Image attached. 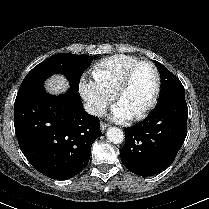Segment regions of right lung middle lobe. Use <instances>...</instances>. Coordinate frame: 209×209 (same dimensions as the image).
<instances>
[{"label": "right lung middle lobe", "mask_w": 209, "mask_h": 209, "mask_svg": "<svg viewBox=\"0 0 209 209\" xmlns=\"http://www.w3.org/2000/svg\"><path fill=\"white\" fill-rule=\"evenodd\" d=\"M92 57L71 53H58L35 66L22 81L19 91L23 92L31 86L43 83L54 73L64 74L73 89L78 90L80 78L85 69L91 64Z\"/></svg>", "instance_id": "1"}]
</instances>
